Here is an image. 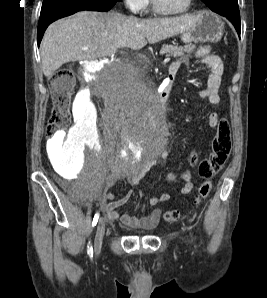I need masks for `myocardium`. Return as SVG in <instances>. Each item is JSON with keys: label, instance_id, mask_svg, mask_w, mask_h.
<instances>
[{"label": "myocardium", "instance_id": "1", "mask_svg": "<svg viewBox=\"0 0 267 298\" xmlns=\"http://www.w3.org/2000/svg\"><path fill=\"white\" fill-rule=\"evenodd\" d=\"M193 1L194 0H188L186 6L184 7V9H182L181 11H178V12H170V11H167V10H164L158 0H151V5H152V8H153V11L159 15H163V16H180V15H183L185 13H187L192 5H193Z\"/></svg>", "mask_w": 267, "mask_h": 298}]
</instances>
